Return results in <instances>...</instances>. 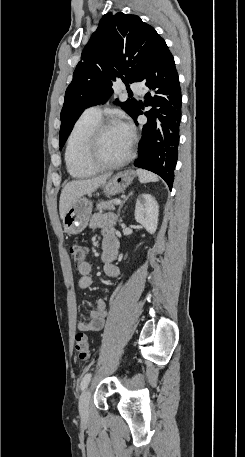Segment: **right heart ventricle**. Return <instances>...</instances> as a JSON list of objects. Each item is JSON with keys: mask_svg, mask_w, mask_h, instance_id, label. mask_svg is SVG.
<instances>
[{"mask_svg": "<svg viewBox=\"0 0 245 457\" xmlns=\"http://www.w3.org/2000/svg\"><path fill=\"white\" fill-rule=\"evenodd\" d=\"M100 121L99 117L83 114L74 124L66 145V164L68 171L75 178L89 176L92 171L81 165L79 154L82 151L86 136L91 128Z\"/></svg>", "mask_w": 245, "mask_h": 457, "instance_id": "e07e8e85", "label": "right heart ventricle"}]
</instances>
